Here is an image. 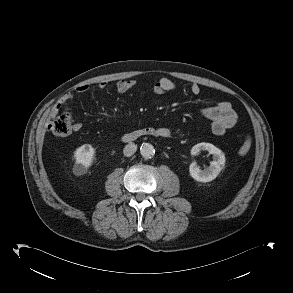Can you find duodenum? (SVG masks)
I'll return each mask as SVG.
<instances>
[{
	"instance_id": "1",
	"label": "duodenum",
	"mask_w": 293,
	"mask_h": 293,
	"mask_svg": "<svg viewBox=\"0 0 293 293\" xmlns=\"http://www.w3.org/2000/svg\"><path fill=\"white\" fill-rule=\"evenodd\" d=\"M147 135L160 136V133L157 131V129H154L152 127H145V128L138 129V130H135V131H132V132H129V133L125 134L122 137V140L124 142H132V141H135V140H137L138 138H140L142 136H147Z\"/></svg>"
}]
</instances>
